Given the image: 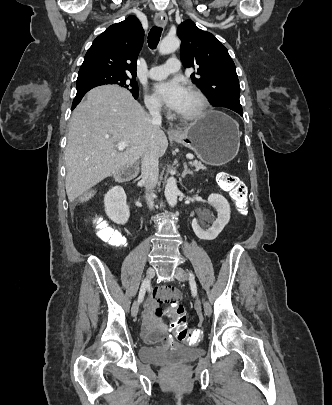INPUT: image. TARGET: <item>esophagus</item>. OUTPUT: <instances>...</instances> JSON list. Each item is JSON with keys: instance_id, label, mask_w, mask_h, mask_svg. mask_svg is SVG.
I'll use <instances>...</instances> for the list:
<instances>
[{"instance_id": "34e87169", "label": "esophagus", "mask_w": 332, "mask_h": 405, "mask_svg": "<svg viewBox=\"0 0 332 405\" xmlns=\"http://www.w3.org/2000/svg\"><path fill=\"white\" fill-rule=\"evenodd\" d=\"M155 24L158 26H165L168 22V17L167 14L165 12H159L155 15ZM168 133L170 135H178L179 132L173 128L168 130Z\"/></svg>"}]
</instances>
